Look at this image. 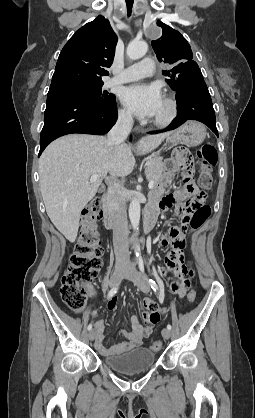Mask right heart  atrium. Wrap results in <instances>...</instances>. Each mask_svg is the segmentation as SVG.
Returning a JSON list of instances; mask_svg holds the SVG:
<instances>
[{"mask_svg":"<svg viewBox=\"0 0 255 418\" xmlns=\"http://www.w3.org/2000/svg\"><path fill=\"white\" fill-rule=\"evenodd\" d=\"M118 119L122 123L128 124L131 122L132 118L128 110L122 108L118 112Z\"/></svg>","mask_w":255,"mask_h":418,"instance_id":"d8ad5b80","label":"right heart atrium"}]
</instances>
